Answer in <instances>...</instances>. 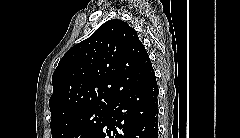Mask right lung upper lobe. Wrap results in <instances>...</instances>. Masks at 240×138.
<instances>
[{
  "label": "right lung upper lobe",
  "instance_id": "obj_1",
  "mask_svg": "<svg viewBox=\"0 0 240 138\" xmlns=\"http://www.w3.org/2000/svg\"><path fill=\"white\" fill-rule=\"evenodd\" d=\"M154 76L137 32L122 20H109L73 46L52 76L51 122L114 101Z\"/></svg>",
  "mask_w": 240,
  "mask_h": 138
}]
</instances>
